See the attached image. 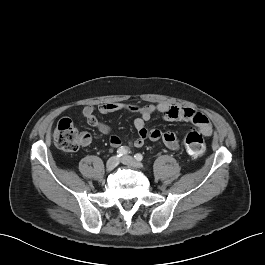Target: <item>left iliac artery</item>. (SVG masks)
Listing matches in <instances>:
<instances>
[{
	"label": "left iliac artery",
	"instance_id": "44dca946",
	"mask_svg": "<svg viewBox=\"0 0 265 265\" xmlns=\"http://www.w3.org/2000/svg\"><path fill=\"white\" fill-rule=\"evenodd\" d=\"M134 158H135L137 161H142L143 156H142L140 153H137V154H135Z\"/></svg>",
	"mask_w": 265,
	"mask_h": 265
}]
</instances>
